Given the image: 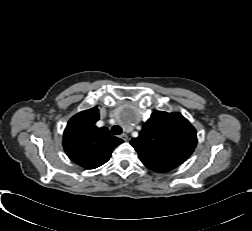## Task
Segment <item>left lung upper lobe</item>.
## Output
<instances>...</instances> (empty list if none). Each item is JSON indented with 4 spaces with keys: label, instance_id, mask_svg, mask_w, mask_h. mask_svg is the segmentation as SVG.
I'll list each match as a JSON object with an SVG mask.
<instances>
[{
    "label": "left lung upper lobe",
    "instance_id": "5c2ea615",
    "mask_svg": "<svg viewBox=\"0 0 252 231\" xmlns=\"http://www.w3.org/2000/svg\"><path fill=\"white\" fill-rule=\"evenodd\" d=\"M130 143L146 167H177L194 151L197 136L194 127L180 113L155 111Z\"/></svg>",
    "mask_w": 252,
    "mask_h": 231
}]
</instances>
